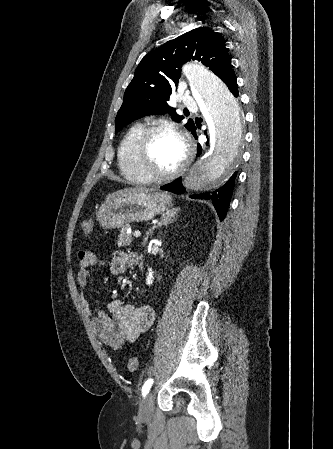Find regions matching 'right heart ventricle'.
Returning a JSON list of instances; mask_svg holds the SVG:
<instances>
[{"label":"right heart ventricle","mask_w":333,"mask_h":449,"mask_svg":"<svg viewBox=\"0 0 333 449\" xmlns=\"http://www.w3.org/2000/svg\"><path fill=\"white\" fill-rule=\"evenodd\" d=\"M145 128L142 123L129 127L118 147V163L124 177L138 183H148L139 171L136 159V146Z\"/></svg>","instance_id":"1"}]
</instances>
